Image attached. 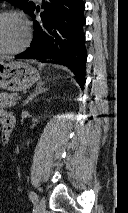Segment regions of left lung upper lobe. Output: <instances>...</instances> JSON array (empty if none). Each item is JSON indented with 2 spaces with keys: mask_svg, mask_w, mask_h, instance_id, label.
Returning <instances> with one entry per match:
<instances>
[{
  "mask_svg": "<svg viewBox=\"0 0 128 213\" xmlns=\"http://www.w3.org/2000/svg\"><path fill=\"white\" fill-rule=\"evenodd\" d=\"M7 1H9L11 4L17 7H20L27 13H29L35 6L32 2H28V0H7Z\"/></svg>",
  "mask_w": 128,
  "mask_h": 213,
  "instance_id": "left-lung-upper-lobe-1",
  "label": "left lung upper lobe"
}]
</instances>
